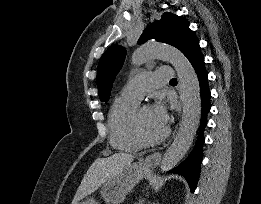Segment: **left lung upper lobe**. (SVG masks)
Masks as SVG:
<instances>
[{"mask_svg":"<svg viewBox=\"0 0 261 204\" xmlns=\"http://www.w3.org/2000/svg\"><path fill=\"white\" fill-rule=\"evenodd\" d=\"M194 36L185 18L166 12L160 21H155L143 31L138 44L154 38L158 42L176 47L183 53ZM125 54V48L114 44L101 57L97 69V87L101 101L109 100L114 78L123 65Z\"/></svg>","mask_w":261,"mask_h":204,"instance_id":"5c2ea615","label":"left lung upper lobe"}]
</instances>
